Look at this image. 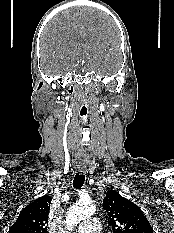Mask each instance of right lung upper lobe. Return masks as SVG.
<instances>
[{
    "instance_id": "1",
    "label": "right lung upper lobe",
    "mask_w": 174,
    "mask_h": 233,
    "mask_svg": "<svg viewBox=\"0 0 174 233\" xmlns=\"http://www.w3.org/2000/svg\"><path fill=\"white\" fill-rule=\"evenodd\" d=\"M51 200L44 195L22 209L9 233H46Z\"/></svg>"
}]
</instances>
